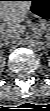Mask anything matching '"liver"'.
I'll use <instances>...</instances> for the list:
<instances>
[{
  "instance_id": "obj_1",
  "label": "liver",
  "mask_w": 50,
  "mask_h": 111,
  "mask_svg": "<svg viewBox=\"0 0 50 111\" xmlns=\"http://www.w3.org/2000/svg\"><path fill=\"white\" fill-rule=\"evenodd\" d=\"M30 0H9L0 3V18L5 23L1 25V35L8 32H22L20 25L30 10Z\"/></svg>"
}]
</instances>
